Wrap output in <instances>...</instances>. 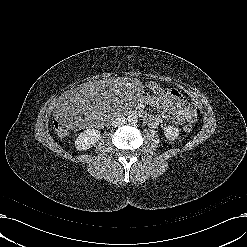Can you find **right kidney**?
I'll return each mask as SVG.
<instances>
[{"label":"right kidney","mask_w":247,"mask_h":247,"mask_svg":"<svg viewBox=\"0 0 247 247\" xmlns=\"http://www.w3.org/2000/svg\"><path fill=\"white\" fill-rule=\"evenodd\" d=\"M100 131L92 129L84 130L76 138L75 147L79 151L88 150L100 140Z\"/></svg>","instance_id":"1"}]
</instances>
